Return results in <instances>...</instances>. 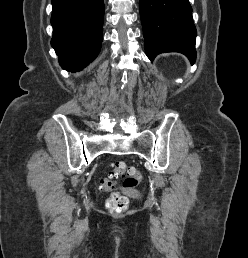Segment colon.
Wrapping results in <instances>:
<instances>
[{
    "mask_svg": "<svg viewBox=\"0 0 248 258\" xmlns=\"http://www.w3.org/2000/svg\"><path fill=\"white\" fill-rule=\"evenodd\" d=\"M119 178L123 179L125 188L132 189L141 182L142 174L136 167L123 161H117L111 164L108 174L100 179V186L105 190H111L115 187ZM128 206V198L120 193L114 192L108 197L107 207L112 212H124L128 209Z\"/></svg>",
    "mask_w": 248,
    "mask_h": 258,
    "instance_id": "5ec220e1",
    "label": "colon"
}]
</instances>
